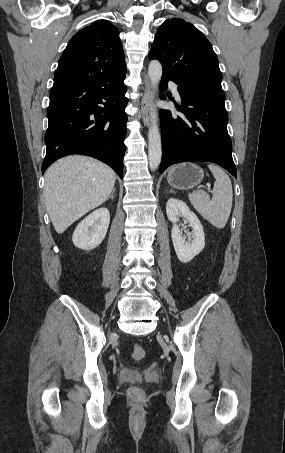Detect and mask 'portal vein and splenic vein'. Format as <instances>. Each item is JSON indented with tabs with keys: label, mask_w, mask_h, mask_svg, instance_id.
Returning a JSON list of instances; mask_svg holds the SVG:
<instances>
[{
	"label": "portal vein and splenic vein",
	"mask_w": 285,
	"mask_h": 453,
	"mask_svg": "<svg viewBox=\"0 0 285 453\" xmlns=\"http://www.w3.org/2000/svg\"><path fill=\"white\" fill-rule=\"evenodd\" d=\"M207 186H208V190H210V185L208 184Z\"/></svg>",
	"instance_id": "1"
}]
</instances>
